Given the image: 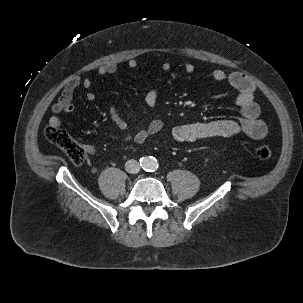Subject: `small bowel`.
Instances as JSON below:
<instances>
[{"mask_svg":"<svg viewBox=\"0 0 303 303\" xmlns=\"http://www.w3.org/2000/svg\"><path fill=\"white\" fill-rule=\"evenodd\" d=\"M127 66L131 69L138 67L136 59H129ZM162 69L165 72L170 71L171 64L168 61L163 62ZM117 71L115 63H106L98 68V74L101 76L112 75ZM184 71L187 74L194 72V66L191 63L184 65ZM212 77L222 87H227L236 93V104L241 110L242 117L240 120H216L211 122L189 123L176 126L172 130L173 138L179 143H191L197 140L213 137H231L237 134H245L252 139H262L267 133L266 124L259 119L260 108L254 100L255 85L244 74L238 72L228 73L216 69L212 72ZM92 80L88 77H76L68 81L63 87L58 100L52 105L53 116L49 124L61 125L60 114L72 113L75 109L73 98L75 90L79 87L90 88ZM88 101H94L96 96L89 91L85 95ZM158 100V90L156 87L149 88L145 95L144 101L149 107L156 105ZM109 115L112 122L121 130L128 131L129 138L137 143H142L150 136L158 133L163 128V121L159 118L151 120L149 125L144 129H134L119 114L114 106L109 107ZM86 151L89 154L94 153L92 145H86Z\"/></svg>","mask_w":303,"mask_h":303,"instance_id":"obj_1","label":"small bowel"}]
</instances>
